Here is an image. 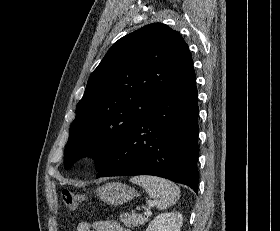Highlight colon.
Listing matches in <instances>:
<instances>
[{
  "mask_svg": "<svg viewBox=\"0 0 280 231\" xmlns=\"http://www.w3.org/2000/svg\"><path fill=\"white\" fill-rule=\"evenodd\" d=\"M61 199L65 206L69 209H74L81 205V200L67 190L62 191Z\"/></svg>",
  "mask_w": 280,
  "mask_h": 231,
  "instance_id": "obj_1",
  "label": "colon"
}]
</instances>
